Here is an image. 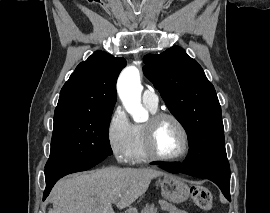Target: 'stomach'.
Wrapping results in <instances>:
<instances>
[{"mask_svg": "<svg viewBox=\"0 0 270 213\" xmlns=\"http://www.w3.org/2000/svg\"><path fill=\"white\" fill-rule=\"evenodd\" d=\"M161 194L167 200L180 203L185 201L190 194L189 186L179 177L164 175L160 181ZM129 213H137L132 209Z\"/></svg>", "mask_w": 270, "mask_h": 213, "instance_id": "1", "label": "stomach"}]
</instances>
